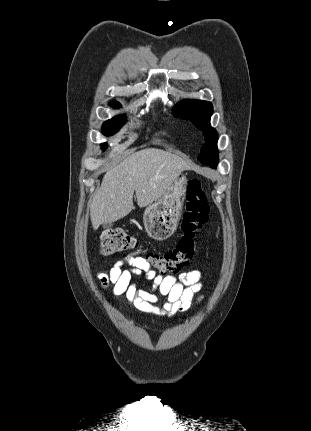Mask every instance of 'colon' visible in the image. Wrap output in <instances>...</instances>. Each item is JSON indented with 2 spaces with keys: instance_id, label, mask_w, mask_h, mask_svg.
I'll list each match as a JSON object with an SVG mask.
<instances>
[{
  "instance_id": "obj_1",
  "label": "colon",
  "mask_w": 311,
  "mask_h": 431,
  "mask_svg": "<svg viewBox=\"0 0 311 431\" xmlns=\"http://www.w3.org/2000/svg\"><path fill=\"white\" fill-rule=\"evenodd\" d=\"M209 204L202 183L191 179L186 188L185 210L181 223L182 236L174 248L165 252L143 251L146 260L161 276L177 274L194 259L197 253L196 236L206 223ZM130 249H141L139 242L123 229L102 233L99 250L102 255H112Z\"/></svg>"
}]
</instances>
